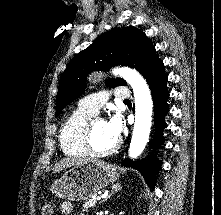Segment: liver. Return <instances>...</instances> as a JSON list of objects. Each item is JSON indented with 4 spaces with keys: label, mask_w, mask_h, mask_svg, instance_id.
Listing matches in <instances>:
<instances>
[{
    "label": "liver",
    "mask_w": 221,
    "mask_h": 215,
    "mask_svg": "<svg viewBox=\"0 0 221 215\" xmlns=\"http://www.w3.org/2000/svg\"><path fill=\"white\" fill-rule=\"evenodd\" d=\"M90 160L91 159L65 158L55 164L53 172L57 173V172H60L61 170H64L72 166H80Z\"/></svg>",
    "instance_id": "6515ba94"
}]
</instances>
